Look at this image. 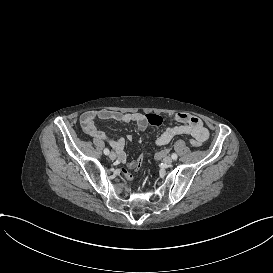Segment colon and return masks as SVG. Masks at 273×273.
<instances>
[{
    "instance_id": "1",
    "label": "colon",
    "mask_w": 273,
    "mask_h": 273,
    "mask_svg": "<svg viewBox=\"0 0 273 273\" xmlns=\"http://www.w3.org/2000/svg\"><path fill=\"white\" fill-rule=\"evenodd\" d=\"M144 118L147 121V123L154 125V126H160L164 123V117L157 113H146L144 114ZM146 160L145 154H138L137 155V165L136 170L142 171L144 168V163Z\"/></svg>"
}]
</instances>
